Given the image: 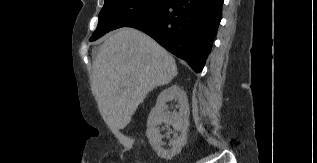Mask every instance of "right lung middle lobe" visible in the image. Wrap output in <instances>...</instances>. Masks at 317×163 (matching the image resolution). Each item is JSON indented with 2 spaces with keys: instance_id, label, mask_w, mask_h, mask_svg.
Wrapping results in <instances>:
<instances>
[{
  "instance_id": "1",
  "label": "right lung middle lobe",
  "mask_w": 317,
  "mask_h": 163,
  "mask_svg": "<svg viewBox=\"0 0 317 163\" xmlns=\"http://www.w3.org/2000/svg\"><path fill=\"white\" fill-rule=\"evenodd\" d=\"M168 0H105L99 23L90 41L105 33L127 26L162 7Z\"/></svg>"
}]
</instances>
